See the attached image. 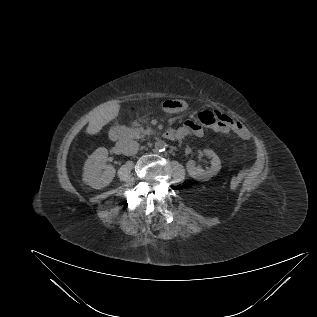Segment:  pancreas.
I'll return each mask as SVG.
<instances>
[{"label": "pancreas", "mask_w": 317, "mask_h": 317, "mask_svg": "<svg viewBox=\"0 0 317 317\" xmlns=\"http://www.w3.org/2000/svg\"><path fill=\"white\" fill-rule=\"evenodd\" d=\"M152 130L150 127H148L146 130L137 122H133L131 128L127 129V133L130 134L133 137L140 138L144 135L151 134Z\"/></svg>", "instance_id": "cf45deb5"}]
</instances>
